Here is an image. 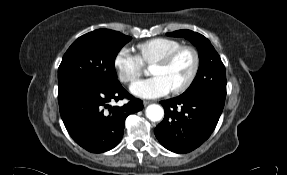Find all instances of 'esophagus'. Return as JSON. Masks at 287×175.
<instances>
[{"label": "esophagus", "instance_id": "34e87169", "mask_svg": "<svg viewBox=\"0 0 287 175\" xmlns=\"http://www.w3.org/2000/svg\"><path fill=\"white\" fill-rule=\"evenodd\" d=\"M153 101H149V100H144L143 101V105L144 106H147V105H149L150 103H152Z\"/></svg>", "mask_w": 287, "mask_h": 175}]
</instances>
